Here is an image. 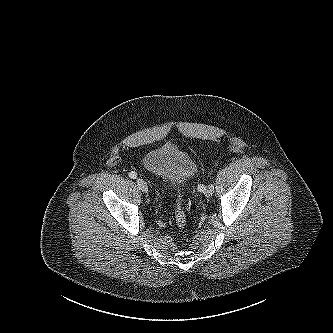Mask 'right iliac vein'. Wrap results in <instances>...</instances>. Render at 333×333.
<instances>
[{
  "instance_id": "63e3f726",
  "label": "right iliac vein",
  "mask_w": 333,
  "mask_h": 333,
  "mask_svg": "<svg viewBox=\"0 0 333 333\" xmlns=\"http://www.w3.org/2000/svg\"><path fill=\"white\" fill-rule=\"evenodd\" d=\"M136 182H137V185H138L139 189L142 192H144V193L148 192V185H147V183L144 180L138 178Z\"/></svg>"
}]
</instances>
